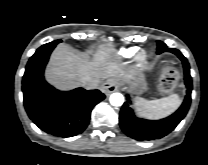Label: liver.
Wrapping results in <instances>:
<instances>
[{
  "instance_id": "6515ba94",
  "label": "liver",
  "mask_w": 208,
  "mask_h": 165,
  "mask_svg": "<svg viewBox=\"0 0 208 165\" xmlns=\"http://www.w3.org/2000/svg\"><path fill=\"white\" fill-rule=\"evenodd\" d=\"M117 75L115 68L102 56L95 55L89 59L66 44L57 46L46 71L47 81L61 89L84 86L90 80Z\"/></svg>"
}]
</instances>
